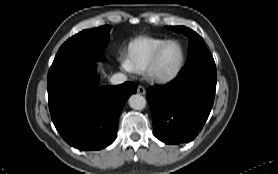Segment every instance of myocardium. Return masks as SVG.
<instances>
[{
	"instance_id": "f54148a6",
	"label": "myocardium",
	"mask_w": 278,
	"mask_h": 174,
	"mask_svg": "<svg viewBox=\"0 0 278 174\" xmlns=\"http://www.w3.org/2000/svg\"><path fill=\"white\" fill-rule=\"evenodd\" d=\"M169 44H177L179 46L181 50V59L178 66L172 72L165 74V73H161L158 70V60L164 48ZM185 62H186V53L182 43L175 39L166 40L154 51L147 68V75L152 81L156 83L159 84L169 83L178 77V75L181 73V71L184 68Z\"/></svg>"
}]
</instances>
